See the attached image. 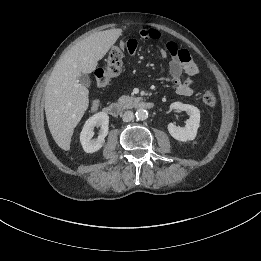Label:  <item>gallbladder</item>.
Returning a JSON list of instances; mask_svg holds the SVG:
<instances>
[{
    "instance_id": "bac80fb5",
    "label": "gallbladder",
    "mask_w": 261,
    "mask_h": 261,
    "mask_svg": "<svg viewBox=\"0 0 261 261\" xmlns=\"http://www.w3.org/2000/svg\"><path fill=\"white\" fill-rule=\"evenodd\" d=\"M79 82L83 85V86H89L90 85V78L88 75L86 74H82L80 77H79Z\"/></svg>"
}]
</instances>
